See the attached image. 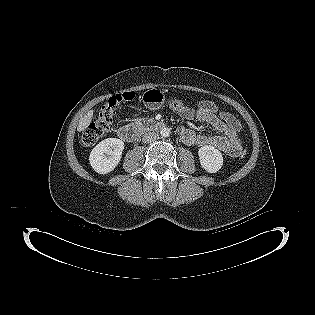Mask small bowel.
Masks as SVG:
<instances>
[{"label": "small bowel", "mask_w": 315, "mask_h": 315, "mask_svg": "<svg viewBox=\"0 0 315 315\" xmlns=\"http://www.w3.org/2000/svg\"><path fill=\"white\" fill-rule=\"evenodd\" d=\"M181 117L186 119L195 118L210 124L220 135L212 133H197L186 127L179 129L182 142L190 146H213L229 156H238L242 150L240 137L241 125L238 119L229 112L220 110L212 101H200L196 108L184 106L173 109Z\"/></svg>", "instance_id": "1"}]
</instances>
